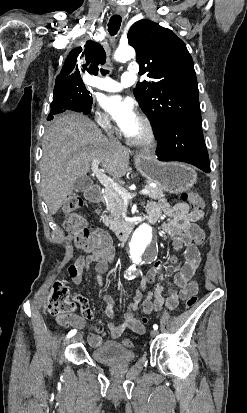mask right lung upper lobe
Returning <instances> with one entry per match:
<instances>
[{
    "mask_svg": "<svg viewBox=\"0 0 247 413\" xmlns=\"http://www.w3.org/2000/svg\"><path fill=\"white\" fill-rule=\"evenodd\" d=\"M81 51L82 48L79 47L70 52L60 74L56 78V83L82 81L79 69H77L78 65L76 64L77 57ZM82 57L86 61L82 65V69L96 75L98 73V65L105 63L106 54L100 44L89 40L85 44Z\"/></svg>",
    "mask_w": 247,
    "mask_h": 413,
    "instance_id": "obj_1",
    "label": "right lung upper lobe"
}]
</instances>
